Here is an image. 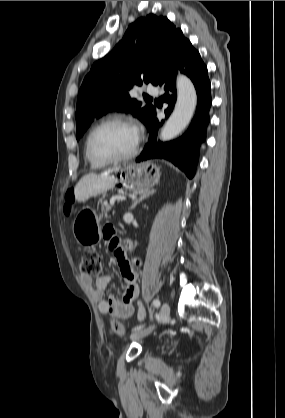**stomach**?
I'll return each instance as SVG.
<instances>
[{
  "label": "stomach",
  "instance_id": "0dacf381",
  "mask_svg": "<svg viewBox=\"0 0 285 418\" xmlns=\"http://www.w3.org/2000/svg\"><path fill=\"white\" fill-rule=\"evenodd\" d=\"M116 173L123 187L131 192H145L159 182L160 168L151 163L129 164L124 166ZM83 213H78L73 223V233L75 238L82 244H87L86 240L94 237L96 240L101 236L98 223H91Z\"/></svg>",
  "mask_w": 285,
  "mask_h": 418
}]
</instances>
